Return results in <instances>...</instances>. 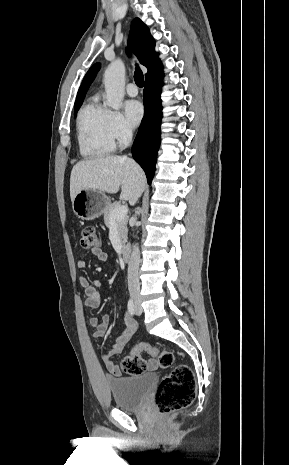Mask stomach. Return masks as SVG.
<instances>
[{
  "label": "stomach",
  "instance_id": "obj_1",
  "mask_svg": "<svg viewBox=\"0 0 289 465\" xmlns=\"http://www.w3.org/2000/svg\"><path fill=\"white\" fill-rule=\"evenodd\" d=\"M110 205V199L104 192L84 189L78 192L72 201V208L78 218L93 220L100 217Z\"/></svg>",
  "mask_w": 289,
  "mask_h": 465
}]
</instances>
